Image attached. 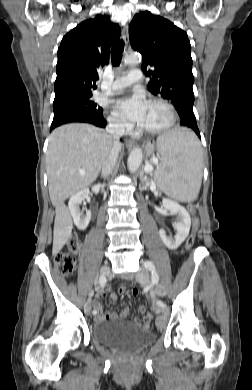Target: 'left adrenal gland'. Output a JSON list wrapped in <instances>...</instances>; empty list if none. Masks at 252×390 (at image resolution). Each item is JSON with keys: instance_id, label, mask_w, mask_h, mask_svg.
Masks as SVG:
<instances>
[{"instance_id": "a2214340", "label": "left adrenal gland", "mask_w": 252, "mask_h": 390, "mask_svg": "<svg viewBox=\"0 0 252 390\" xmlns=\"http://www.w3.org/2000/svg\"><path fill=\"white\" fill-rule=\"evenodd\" d=\"M142 182H145V187H146V188L149 187L150 182H149V180H147L146 177H144V178L142 179Z\"/></svg>"}]
</instances>
